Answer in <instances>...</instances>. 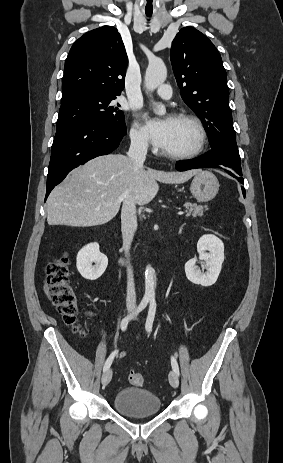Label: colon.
<instances>
[{"mask_svg": "<svg viewBox=\"0 0 283 463\" xmlns=\"http://www.w3.org/2000/svg\"><path fill=\"white\" fill-rule=\"evenodd\" d=\"M46 279L48 292L59 314L67 324L74 326L76 332L81 333L82 330L78 323V297L71 284L67 256L57 257L48 264ZM128 380L135 386H142L145 383L144 376L137 372H131Z\"/></svg>", "mask_w": 283, "mask_h": 463, "instance_id": "1", "label": "colon"}]
</instances>
